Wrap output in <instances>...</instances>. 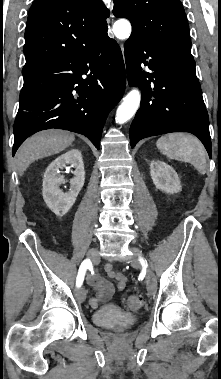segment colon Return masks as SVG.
Wrapping results in <instances>:
<instances>
[{"label": "colon", "instance_id": "obj_1", "mask_svg": "<svg viewBox=\"0 0 221 379\" xmlns=\"http://www.w3.org/2000/svg\"><path fill=\"white\" fill-rule=\"evenodd\" d=\"M143 303L144 300L141 296L130 295L123 299L122 306L128 309H138Z\"/></svg>", "mask_w": 221, "mask_h": 379}]
</instances>
